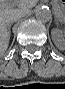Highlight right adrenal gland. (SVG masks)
I'll return each instance as SVG.
<instances>
[{
	"instance_id": "2a0ac1e0",
	"label": "right adrenal gland",
	"mask_w": 65,
	"mask_h": 89,
	"mask_svg": "<svg viewBox=\"0 0 65 89\" xmlns=\"http://www.w3.org/2000/svg\"><path fill=\"white\" fill-rule=\"evenodd\" d=\"M8 33H11V25L8 26Z\"/></svg>"
}]
</instances>
